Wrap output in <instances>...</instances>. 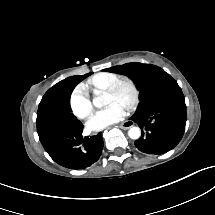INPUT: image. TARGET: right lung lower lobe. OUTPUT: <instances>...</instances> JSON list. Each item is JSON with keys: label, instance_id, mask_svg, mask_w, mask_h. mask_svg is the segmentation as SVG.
I'll return each instance as SVG.
<instances>
[{"label": "right lung lower lobe", "instance_id": "1", "mask_svg": "<svg viewBox=\"0 0 215 215\" xmlns=\"http://www.w3.org/2000/svg\"><path fill=\"white\" fill-rule=\"evenodd\" d=\"M82 131L83 126H50L37 130L40 142L49 156L57 164L69 169H85L101 156V133L83 138Z\"/></svg>", "mask_w": 215, "mask_h": 215}]
</instances>
